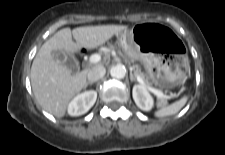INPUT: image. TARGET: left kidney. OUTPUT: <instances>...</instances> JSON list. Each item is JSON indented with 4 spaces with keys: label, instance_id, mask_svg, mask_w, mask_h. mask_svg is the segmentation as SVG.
Wrapping results in <instances>:
<instances>
[{
    "label": "left kidney",
    "instance_id": "5707ae66",
    "mask_svg": "<svg viewBox=\"0 0 225 155\" xmlns=\"http://www.w3.org/2000/svg\"><path fill=\"white\" fill-rule=\"evenodd\" d=\"M133 99L136 105L143 111H150L154 101L147 88L143 85H134L132 90Z\"/></svg>",
    "mask_w": 225,
    "mask_h": 155
}]
</instances>
